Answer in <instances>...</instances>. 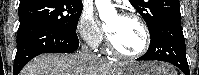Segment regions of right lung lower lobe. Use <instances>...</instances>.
Listing matches in <instances>:
<instances>
[{"label": "right lung lower lobe", "instance_id": "98d812e1", "mask_svg": "<svg viewBox=\"0 0 199 75\" xmlns=\"http://www.w3.org/2000/svg\"><path fill=\"white\" fill-rule=\"evenodd\" d=\"M79 47L77 35H70L41 23H27L19 26L17 33V53L13 74L34 57L42 53H71Z\"/></svg>", "mask_w": 199, "mask_h": 75}]
</instances>
